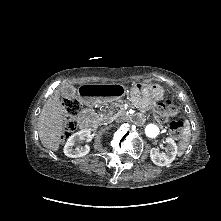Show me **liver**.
<instances>
[{
  "label": "liver",
  "instance_id": "1",
  "mask_svg": "<svg viewBox=\"0 0 221 221\" xmlns=\"http://www.w3.org/2000/svg\"><path fill=\"white\" fill-rule=\"evenodd\" d=\"M65 114L59 91H56L45 103L37 122L39 137L45 148L58 151L65 127Z\"/></svg>",
  "mask_w": 221,
  "mask_h": 221
}]
</instances>
